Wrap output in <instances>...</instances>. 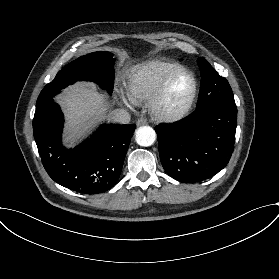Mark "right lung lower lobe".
Returning <instances> with one entry per match:
<instances>
[{
	"label": "right lung lower lobe",
	"instance_id": "right-lung-lower-lobe-1",
	"mask_svg": "<svg viewBox=\"0 0 279 279\" xmlns=\"http://www.w3.org/2000/svg\"><path fill=\"white\" fill-rule=\"evenodd\" d=\"M62 127L63 114L53 99L36 106L33 133L48 175L81 194H98L112 188L122 171L136 125H102L74 149L61 144Z\"/></svg>",
	"mask_w": 279,
	"mask_h": 279
}]
</instances>
